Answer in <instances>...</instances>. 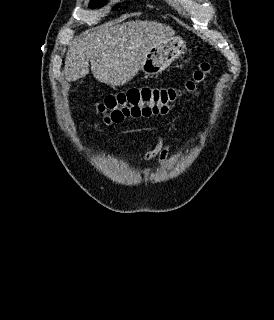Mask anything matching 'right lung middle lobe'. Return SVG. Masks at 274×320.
Returning a JSON list of instances; mask_svg holds the SVG:
<instances>
[{"instance_id": "dd1d6c3e", "label": "right lung middle lobe", "mask_w": 274, "mask_h": 320, "mask_svg": "<svg viewBox=\"0 0 274 320\" xmlns=\"http://www.w3.org/2000/svg\"><path fill=\"white\" fill-rule=\"evenodd\" d=\"M104 0H92V2L90 3V7L91 8H96V7H101L104 2Z\"/></svg>"}]
</instances>
